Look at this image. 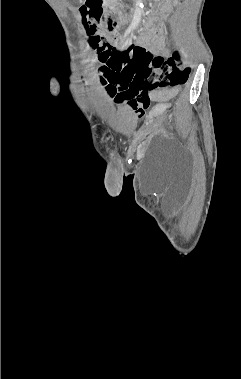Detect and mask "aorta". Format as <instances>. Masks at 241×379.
Wrapping results in <instances>:
<instances>
[{"instance_id":"1","label":"aorta","mask_w":241,"mask_h":379,"mask_svg":"<svg viewBox=\"0 0 241 379\" xmlns=\"http://www.w3.org/2000/svg\"><path fill=\"white\" fill-rule=\"evenodd\" d=\"M142 13H143V3H142V0H136L134 15H133V18H132V23H131V26L133 28L138 27V25H139V23L141 21Z\"/></svg>"}]
</instances>
